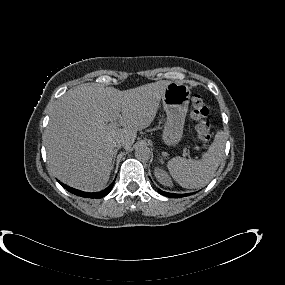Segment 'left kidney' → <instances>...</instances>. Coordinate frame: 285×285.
Returning a JSON list of instances; mask_svg holds the SVG:
<instances>
[{"mask_svg":"<svg viewBox=\"0 0 285 285\" xmlns=\"http://www.w3.org/2000/svg\"><path fill=\"white\" fill-rule=\"evenodd\" d=\"M154 175L160 184L168 187L172 186L171 178L162 168L156 167L154 170Z\"/></svg>","mask_w":285,"mask_h":285,"instance_id":"1","label":"left kidney"}]
</instances>
